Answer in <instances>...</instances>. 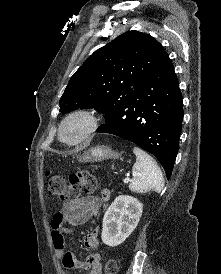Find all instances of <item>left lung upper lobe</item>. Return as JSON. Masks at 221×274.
<instances>
[{
  "label": "left lung upper lobe",
  "instance_id": "1",
  "mask_svg": "<svg viewBox=\"0 0 221 274\" xmlns=\"http://www.w3.org/2000/svg\"><path fill=\"white\" fill-rule=\"evenodd\" d=\"M167 56L148 34H121L95 51L71 77L60 99V112L95 108L106 116L139 93Z\"/></svg>",
  "mask_w": 221,
  "mask_h": 274
}]
</instances>
